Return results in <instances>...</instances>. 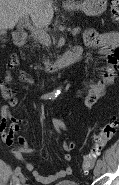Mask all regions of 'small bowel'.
<instances>
[{"instance_id":"1","label":"small bowel","mask_w":119,"mask_h":185,"mask_svg":"<svg viewBox=\"0 0 119 185\" xmlns=\"http://www.w3.org/2000/svg\"><path fill=\"white\" fill-rule=\"evenodd\" d=\"M84 42L87 46L93 47L97 53L104 56L107 60L106 65L101 67L98 71L99 77L96 81H87L84 86L86 89V97L83 104L86 107L94 105L102 96L106 86L112 84L115 79L116 71L119 66V34L115 31L98 32L94 29H87L84 32ZM19 65L17 57H13L7 65V71L4 80L0 84L1 95L3 98L9 100V105L2 107V119L10 120L11 125L9 131L2 127V139L6 146L10 149L12 154L21 162L24 163L25 168L31 172L34 178L41 183L48 184L69 176L72 173V168L66 166L53 174H42L32 164L24 162L25 153H33L35 150L29 146L24 137L20 134V125L27 121L26 118H16L12 115L10 108H16L18 100L16 98V89L11 86L14 80L26 84H32V79L22 72L16 73L14 69ZM52 126L59 133L67 131L65 123L60 119H52ZM14 137H17L20 142V147L14 146ZM75 147L73 141H65L63 148L66 153L63 156V161L69 164L72 160L69 154Z\"/></svg>"}]
</instances>
